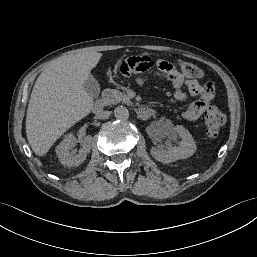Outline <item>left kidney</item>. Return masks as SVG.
<instances>
[{
	"label": "left kidney",
	"instance_id": "5707ae66",
	"mask_svg": "<svg viewBox=\"0 0 257 257\" xmlns=\"http://www.w3.org/2000/svg\"><path fill=\"white\" fill-rule=\"evenodd\" d=\"M176 133L181 141L178 146L168 147L167 150L164 146H159V148H152L150 153L153 158L162 163H171L179 159H185L191 157L196 151V144L187 129L181 125L168 126V128L159 134V138L163 139L165 137H171Z\"/></svg>",
	"mask_w": 257,
	"mask_h": 257
}]
</instances>
